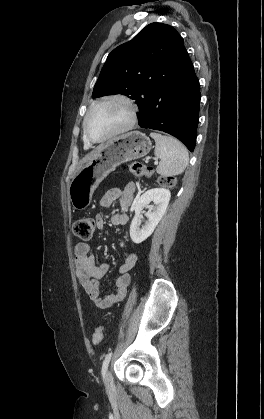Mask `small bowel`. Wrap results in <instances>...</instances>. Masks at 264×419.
<instances>
[{
    "mask_svg": "<svg viewBox=\"0 0 264 419\" xmlns=\"http://www.w3.org/2000/svg\"><path fill=\"white\" fill-rule=\"evenodd\" d=\"M136 191V185L132 182L126 184L123 188L113 187L109 189L101 199L103 207H109L112 203L119 200L120 211L110 217V223L114 226H124L127 224L128 208L131 206ZM96 226L98 229H104L105 219L102 215L96 216ZM121 245L125 247V243ZM75 267L77 279L93 304L99 309H107L113 304L121 301L127 291L131 281L130 271L136 265L137 255L133 252L124 253V261L118 269V278L116 280V289L113 293L101 297L100 281L108 273L110 267L108 264L96 265L91 246L88 243H78L74 249Z\"/></svg>",
    "mask_w": 264,
    "mask_h": 419,
    "instance_id": "obj_1",
    "label": "small bowel"
}]
</instances>
